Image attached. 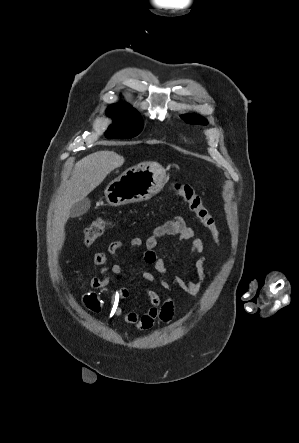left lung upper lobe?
<instances>
[{
    "label": "left lung upper lobe",
    "mask_w": 299,
    "mask_h": 443,
    "mask_svg": "<svg viewBox=\"0 0 299 443\" xmlns=\"http://www.w3.org/2000/svg\"><path fill=\"white\" fill-rule=\"evenodd\" d=\"M181 118L184 119L186 123L190 124H200V125L207 124V120L198 115H182Z\"/></svg>",
    "instance_id": "5c2ea615"
}]
</instances>
